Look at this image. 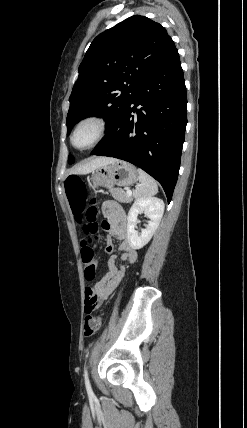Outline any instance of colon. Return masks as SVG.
<instances>
[{"mask_svg": "<svg viewBox=\"0 0 247 428\" xmlns=\"http://www.w3.org/2000/svg\"><path fill=\"white\" fill-rule=\"evenodd\" d=\"M65 190L73 214L76 216L81 226V232L85 239L82 242V262L84 266V276L87 281L96 278L97 260L94 244L96 239L93 235L97 232L98 224L97 209L95 199L88 195L87 187L82 179L77 176H70L65 183ZM105 228V224H103ZM102 302L94 298L85 301L84 313L87 315L84 321V335L91 337L96 334L102 326V317L95 310L102 309Z\"/></svg>", "mask_w": 247, "mask_h": 428, "instance_id": "obj_1", "label": "colon"}]
</instances>
